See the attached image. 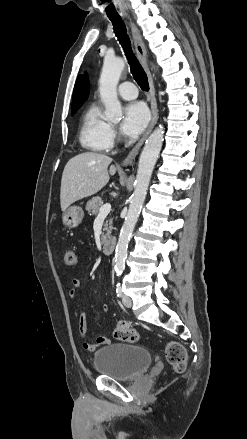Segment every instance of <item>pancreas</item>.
I'll use <instances>...</instances> for the list:
<instances>
[{"label":"pancreas","instance_id":"1","mask_svg":"<svg viewBox=\"0 0 247 439\" xmlns=\"http://www.w3.org/2000/svg\"><path fill=\"white\" fill-rule=\"evenodd\" d=\"M103 204V200L102 198L96 196L93 197L91 200H89L86 204V210L88 211V213L93 214V215H97L99 213L100 207ZM113 230V226H112V219L106 220L105 224H104V229L103 231H106V235H102V239H105L106 237L110 236L111 232Z\"/></svg>","mask_w":247,"mask_h":439}]
</instances>
